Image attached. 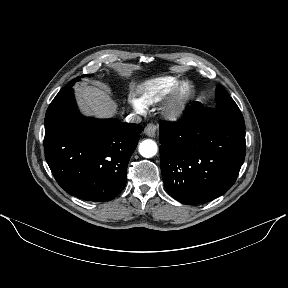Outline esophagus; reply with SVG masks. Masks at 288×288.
<instances>
[{
	"label": "esophagus",
	"mask_w": 288,
	"mask_h": 288,
	"mask_svg": "<svg viewBox=\"0 0 288 288\" xmlns=\"http://www.w3.org/2000/svg\"><path fill=\"white\" fill-rule=\"evenodd\" d=\"M157 127L153 123H149L145 128H144V133L145 135L149 137H154L156 134Z\"/></svg>",
	"instance_id": "34e87169"
}]
</instances>
